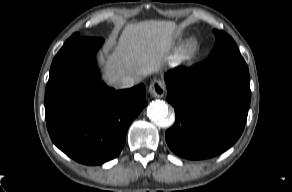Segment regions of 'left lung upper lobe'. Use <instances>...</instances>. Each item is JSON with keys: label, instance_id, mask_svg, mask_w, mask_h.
I'll use <instances>...</instances> for the list:
<instances>
[{"label": "left lung upper lobe", "instance_id": "5c2ea615", "mask_svg": "<svg viewBox=\"0 0 292 192\" xmlns=\"http://www.w3.org/2000/svg\"><path fill=\"white\" fill-rule=\"evenodd\" d=\"M213 32L216 36V43L208 59L221 55H241L236 43L228 34L219 30Z\"/></svg>", "mask_w": 292, "mask_h": 192}]
</instances>
